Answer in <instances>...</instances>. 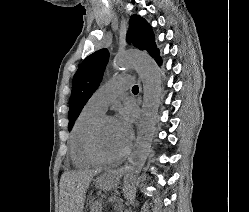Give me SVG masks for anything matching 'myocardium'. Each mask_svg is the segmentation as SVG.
<instances>
[{
	"instance_id": "f54148a6",
	"label": "myocardium",
	"mask_w": 249,
	"mask_h": 212,
	"mask_svg": "<svg viewBox=\"0 0 249 212\" xmlns=\"http://www.w3.org/2000/svg\"><path fill=\"white\" fill-rule=\"evenodd\" d=\"M111 118L109 116L101 115L99 118L95 120V122L92 124L88 135H87V141H86V146H87V151L90 155V157L99 164H114L119 161H121L126 154L128 153L127 150H125L123 153H121L118 156L115 157H106L104 156L98 148L97 144V136H98V131L100 129L101 124L105 119Z\"/></svg>"
}]
</instances>
